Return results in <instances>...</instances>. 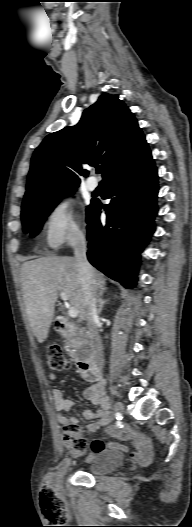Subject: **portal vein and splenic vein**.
<instances>
[{
    "label": "portal vein and splenic vein",
    "instance_id": "obj_1",
    "mask_svg": "<svg viewBox=\"0 0 192 527\" xmlns=\"http://www.w3.org/2000/svg\"><path fill=\"white\" fill-rule=\"evenodd\" d=\"M60 296H61V299L64 301V302H67L68 301V297L65 293L61 292L60 293ZM68 315L71 317V318H76L78 316V311L77 309H75L74 307H70L69 310H68Z\"/></svg>",
    "mask_w": 192,
    "mask_h": 527
}]
</instances>
